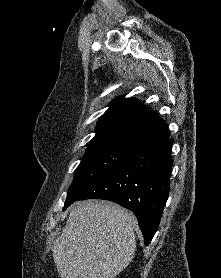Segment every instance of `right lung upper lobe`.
<instances>
[{
	"label": "right lung upper lobe",
	"instance_id": "obj_1",
	"mask_svg": "<svg viewBox=\"0 0 221 278\" xmlns=\"http://www.w3.org/2000/svg\"><path fill=\"white\" fill-rule=\"evenodd\" d=\"M109 106L98 121L91 143L114 140L136 147L169 137L166 122L146 109L139 100L119 96Z\"/></svg>",
	"mask_w": 221,
	"mask_h": 278
}]
</instances>
